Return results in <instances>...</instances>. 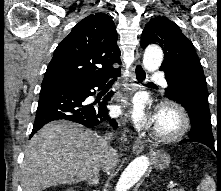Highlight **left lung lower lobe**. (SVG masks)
I'll list each match as a JSON object with an SVG mask.
<instances>
[{
	"instance_id": "left-lung-lower-lobe-1",
	"label": "left lung lower lobe",
	"mask_w": 221,
	"mask_h": 191,
	"mask_svg": "<svg viewBox=\"0 0 221 191\" xmlns=\"http://www.w3.org/2000/svg\"><path fill=\"white\" fill-rule=\"evenodd\" d=\"M176 97L171 98L180 103L188 112L191 121L189 139L184 142L196 141L199 132L208 130L210 112L208 105V91L203 72H195L177 81ZM197 142V141H196Z\"/></svg>"
}]
</instances>
